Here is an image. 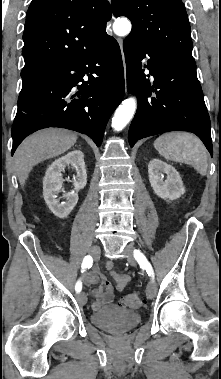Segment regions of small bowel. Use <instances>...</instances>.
<instances>
[{
    "label": "small bowel",
    "mask_w": 221,
    "mask_h": 379,
    "mask_svg": "<svg viewBox=\"0 0 221 379\" xmlns=\"http://www.w3.org/2000/svg\"><path fill=\"white\" fill-rule=\"evenodd\" d=\"M105 267L110 272L112 279L115 281L116 290L123 291L130 282V276L113 271V263L111 261H108ZM82 279L86 285L96 284V287L93 291V309H99L102 305L113 300V286L97 269H95L92 273H84Z\"/></svg>",
    "instance_id": "c3829d8e"
}]
</instances>
